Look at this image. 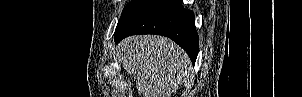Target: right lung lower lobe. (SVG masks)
Returning a JSON list of instances; mask_svg holds the SVG:
<instances>
[{
	"label": "right lung lower lobe",
	"instance_id": "98d812e1",
	"mask_svg": "<svg viewBox=\"0 0 302 97\" xmlns=\"http://www.w3.org/2000/svg\"><path fill=\"white\" fill-rule=\"evenodd\" d=\"M134 34H158L171 38L189 55L194 64L198 54V34L192 11L182 0H146L115 31V42Z\"/></svg>",
	"mask_w": 302,
	"mask_h": 97
}]
</instances>
